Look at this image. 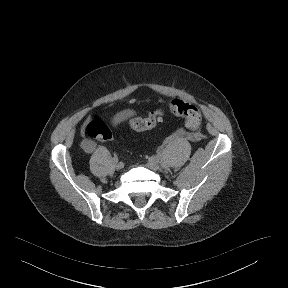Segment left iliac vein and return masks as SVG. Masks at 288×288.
<instances>
[{
	"instance_id": "left-iliac-vein-1",
	"label": "left iliac vein",
	"mask_w": 288,
	"mask_h": 288,
	"mask_svg": "<svg viewBox=\"0 0 288 288\" xmlns=\"http://www.w3.org/2000/svg\"><path fill=\"white\" fill-rule=\"evenodd\" d=\"M147 166L150 168V169H153V170H158L160 169V163H159V160L155 157H151L148 159V162H147Z\"/></svg>"
}]
</instances>
